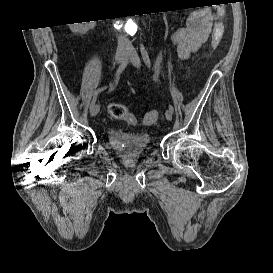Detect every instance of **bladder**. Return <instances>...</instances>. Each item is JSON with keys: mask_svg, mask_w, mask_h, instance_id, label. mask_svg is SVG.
I'll return each instance as SVG.
<instances>
[{"mask_svg": "<svg viewBox=\"0 0 273 273\" xmlns=\"http://www.w3.org/2000/svg\"><path fill=\"white\" fill-rule=\"evenodd\" d=\"M108 147L122 160H133L143 155L151 145L146 133L123 131L116 128L106 132Z\"/></svg>", "mask_w": 273, "mask_h": 273, "instance_id": "31cf9c89", "label": "bladder"}]
</instances>
